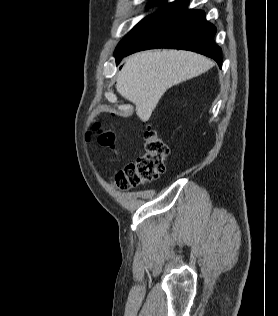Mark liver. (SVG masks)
I'll return each instance as SVG.
<instances>
[{
  "label": "liver",
  "instance_id": "1",
  "mask_svg": "<svg viewBox=\"0 0 278 316\" xmlns=\"http://www.w3.org/2000/svg\"><path fill=\"white\" fill-rule=\"evenodd\" d=\"M206 57L178 50L145 51L129 56L116 79L117 92L136 106V114L148 121L167 89L208 71Z\"/></svg>",
  "mask_w": 278,
  "mask_h": 316
}]
</instances>
